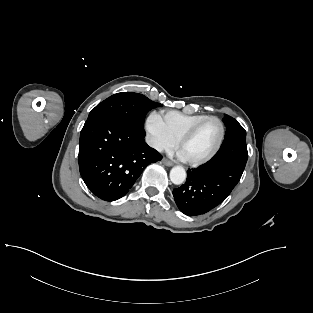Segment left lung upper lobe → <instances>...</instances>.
Segmentation results:
<instances>
[{
  "label": "left lung upper lobe",
  "mask_w": 313,
  "mask_h": 313,
  "mask_svg": "<svg viewBox=\"0 0 313 313\" xmlns=\"http://www.w3.org/2000/svg\"><path fill=\"white\" fill-rule=\"evenodd\" d=\"M223 121L226 125L227 130L221 146H224L233 141H246V131L234 118L225 115Z\"/></svg>",
  "instance_id": "obj_1"
}]
</instances>
